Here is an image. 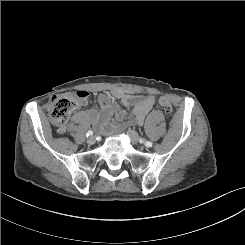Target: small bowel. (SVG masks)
I'll return each mask as SVG.
<instances>
[{
    "label": "small bowel",
    "mask_w": 245,
    "mask_h": 245,
    "mask_svg": "<svg viewBox=\"0 0 245 245\" xmlns=\"http://www.w3.org/2000/svg\"><path fill=\"white\" fill-rule=\"evenodd\" d=\"M112 98L118 100L114 102ZM83 100L81 104H85ZM100 109L91 110L88 113L94 127L101 131L108 124L112 114L115 115L116 128L124 129L128 125H141L144 123L147 114L155 105V98L152 95L138 96L125 92L121 89H114L110 93L98 95ZM132 107L131 116L125 121L126 108Z\"/></svg>",
    "instance_id": "obj_1"
}]
</instances>
